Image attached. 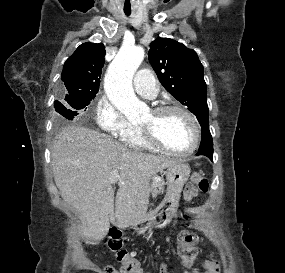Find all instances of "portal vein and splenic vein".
<instances>
[{
	"instance_id": "1",
	"label": "portal vein and splenic vein",
	"mask_w": 285,
	"mask_h": 273,
	"mask_svg": "<svg viewBox=\"0 0 285 273\" xmlns=\"http://www.w3.org/2000/svg\"><path fill=\"white\" fill-rule=\"evenodd\" d=\"M119 180V170L115 169L111 172V178L110 181L111 182H117Z\"/></svg>"
}]
</instances>
